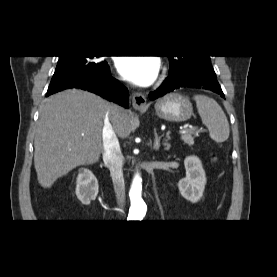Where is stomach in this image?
<instances>
[{
  "mask_svg": "<svg viewBox=\"0 0 277 277\" xmlns=\"http://www.w3.org/2000/svg\"><path fill=\"white\" fill-rule=\"evenodd\" d=\"M156 115L170 122H183L191 118L193 107L190 100L178 93H170L157 100Z\"/></svg>",
  "mask_w": 277,
  "mask_h": 277,
  "instance_id": "obj_1",
  "label": "stomach"
}]
</instances>
